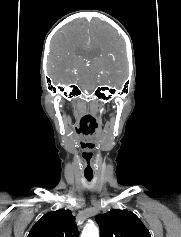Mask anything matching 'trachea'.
Returning <instances> with one entry per match:
<instances>
[{"mask_svg": "<svg viewBox=\"0 0 181 237\" xmlns=\"http://www.w3.org/2000/svg\"><path fill=\"white\" fill-rule=\"evenodd\" d=\"M88 181H91L92 177H86Z\"/></svg>", "mask_w": 181, "mask_h": 237, "instance_id": "obj_1", "label": "trachea"}]
</instances>
